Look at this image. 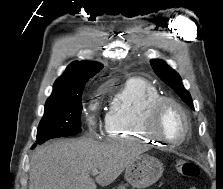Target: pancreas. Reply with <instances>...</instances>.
Instances as JSON below:
<instances>
[{"mask_svg": "<svg viewBox=\"0 0 223 189\" xmlns=\"http://www.w3.org/2000/svg\"><path fill=\"white\" fill-rule=\"evenodd\" d=\"M119 189H125V187L124 186H120Z\"/></svg>", "mask_w": 223, "mask_h": 189, "instance_id": "pancreas-1", "label": "pancreas"}]
</instances>
